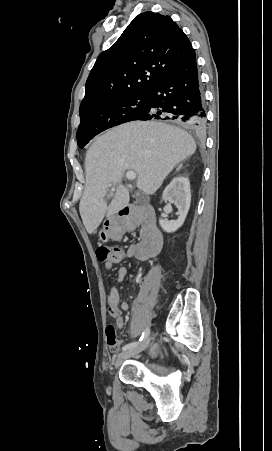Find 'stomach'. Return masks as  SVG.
<instances>
[{
	"instance_id": "0dacf381",
	"label": "stomach",
	"mask_w": 272,
	"mask_h": 451,
	"mask_svg": "<svg viewBox=\"0 0 272 451\" xmlns=\"http://www.w3.org/2000/svg\"><path fill=\"white\" fill-rule=\"evenodd\" d=\"M99 239L100 241H108L109 237L106 229H101V231H99Z\"/></svg>"
}]
</instances>
